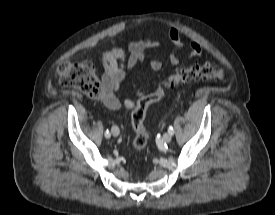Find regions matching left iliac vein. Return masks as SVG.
Instances as JSON below:
<instances>
[{"mask_svg": "<svg viewBox=\"0 0 275 215\" xmlns=\"http://www.w3.org/2000/svg\"><path fill=\"white\" fill-rule=\"evenodd\" d=\"M163 141L166 142V143H169L172 139V135L168 132V133H165L162 137Z\"/></svg>", "mask_w": 275, "mask_h": 215, "instance_id": "4c4485c4", "label": "left iliac vein"}]
</instances>
